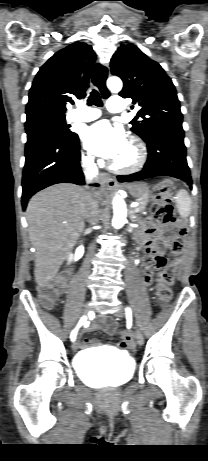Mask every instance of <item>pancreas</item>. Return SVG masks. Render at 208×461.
Listing matches in <instances>:
<instances>
[{
  "label": "pancreas",
  "instance_id": "cf45deb5",
  "mask_svg": "<svg viewBox=\"0 0 208 461\" xmlns=\"http://www.w3.org/2000/svg\"><path fill=\"white\" fill-rule=\"evenodd\" d=\"M148 201H149L148 196L138 199L139 206L137 207L136 211L137 212L143 211L146 208Z\"/></svg>",
  "mask_w": 208,
  "mask_h": 461
}]
</instances>
